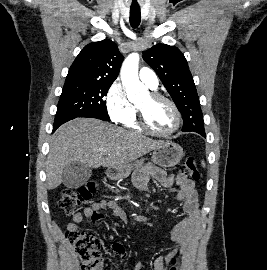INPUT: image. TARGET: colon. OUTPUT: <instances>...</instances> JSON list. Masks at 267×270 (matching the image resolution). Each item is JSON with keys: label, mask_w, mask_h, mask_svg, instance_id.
Masks as SVG:
<instances>
[{"label": "colon", "mask_w": 267, "mask_h": 270, "mask_svg": "<svg viewBox=\"0 0 267 270\" xmlns=\"http://www.w3.org/2000/svg\"><path fill=\"white\" fill-rule=\"evenodd\" d=\"M184 175L192 181H198L200 173L193 156L186 157L183 164ZM97 192V185L89 182L78 188L67 189L62 192L59 207L68 216L77 214L81 205L91 199ZM66 237L74 248L81 270H103V258L100 240L89 230L67 228ZM176 258H172L171 270H177Z\"/></svg>", "instance_id": "obj_1"}]
</instances>
